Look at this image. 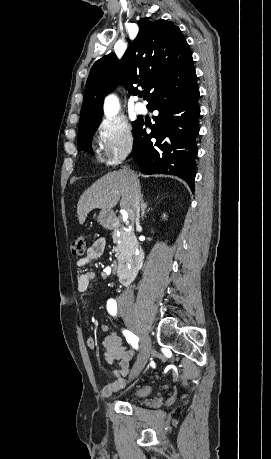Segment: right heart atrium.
<instances>
[{"instance_id":"right-heart-atrium-1","label":"right heart atrium","mask_w":271,"mask_h":459,"mask_svg":"<svg viewBox=\"0 0 271 459\" xmlns=\"http://www.w3.org/2000/svg\"><path fill=\"white\" fill-rule=\"evenodd\" d=\"M99 161L106 166L121 162L131 151L133 136L128 124L117 120H103L94 132Z\"/></svg>"}]
</instances>
